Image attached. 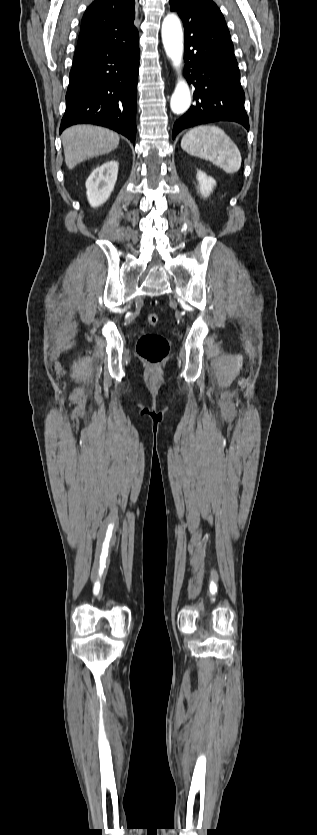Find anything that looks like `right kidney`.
<instances>
[{"label": "right kidney", "mask_w": 317, "mask_h": 835, "mask_svg": "<svg viewBox=\"0 0 317 835\" xmlns=\"http://www.w3.org/2000/svg\"><path fill=\"white\" fill-rule=\"evenodd\" d=\"M118 174V162L110 160L98 166L86 181L87 199L92 207H99L112 193Z\"/></svg>", "instance_id": "1"}]
</instances>
